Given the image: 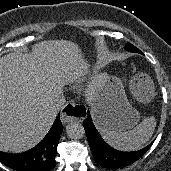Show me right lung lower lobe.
<instances>
[{"instance_id": "right-lung-lower-lobe-1", "label": "right lung lower lobe", "mask_w": 171, "mask_h": 171, "mask_svg": "<svg viewBox=\"0 0 171 171\" xmlns=\"http://www.w3.org/2000/svg\"><path fill=\"white\" fill-rule=\"evenodd\" d=\"M63 126L57 117L46 137L34 148L19 154L0 151V161L16 171H50L55 165L59 136Z\"/></svg>"}]
</instances>
